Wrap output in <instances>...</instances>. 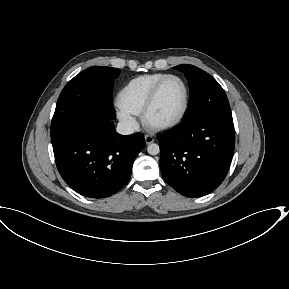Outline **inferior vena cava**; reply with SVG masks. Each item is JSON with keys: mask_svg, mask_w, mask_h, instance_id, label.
<instances>
[{"mask_svg": "<svg viewBox=\"0 0 289 289\" xmlns=\"http://www.w3.org/2000/svg\"><path fill=\"white\" fill-rule=\"evenodd\" d=\"M134 126L129 122H119L116 131L121 135H129L134 133Z\"/></svg>", "mask_w": 289, "mask_h": 289, "instance_id": "inferior-vena-cava-1", "label": "inferior vena cava"}]
</instances>
